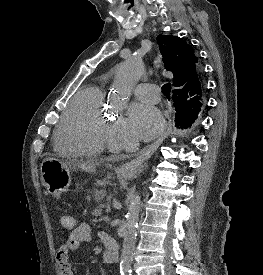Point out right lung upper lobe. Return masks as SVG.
I'll return each mask as SVG.
<instances>
[{"mask_svg":"<svg viewBox=\"0 0 263 275\" xmlns=\"http://www.w3.org/2000/svg\"><path fill=\"white\" fill-rule=\"evenodd\" d=\"M157 42L166 69L174 74L173 91H184V108L198 114L204 106L205 90L202 79L195 76L199 63L192 46L172 35H158Z\"/></svg>","mask_w":263,"mask_h":275,"instance_id":"right-lung-upper-lobe-1","label":"right lung upper lobe"}]
</instances>
